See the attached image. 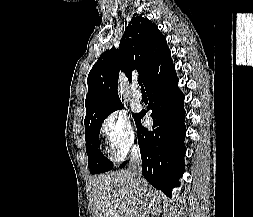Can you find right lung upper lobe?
<instances>
[{"label":"right lung upper lobe","mask_w":253,"mask_h":217,"mask_svg":"<svg viewBox=\"0 0 253 217\" xmlns=\"http://www.w3.org/2000/svg\"><path fill=\"white\" fill-rule=\"evenodd\" d=\"M172 64L166 39L158 26L143 17H133L119 44L105 51L94 64L88 78L85 99L84 123L122 104L117 85L119 71L129 80L137 71L146 86L147 82Z\"/></svg>","instance_id":"1"}]
</instances>
